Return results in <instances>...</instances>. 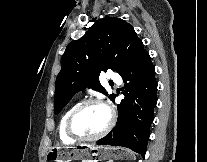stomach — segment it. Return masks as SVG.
Wrapping results in <instances>:
<instances>
[{
    "label": "stomach",
    "mask_w": 207,
    "mask_h": 162,
    "mask_svg": "<svg viewBox=\"0 0 207 162\" xmlns=\"http://www.w3.org/2000/svg\"><path fill=\"white\" fill-rule=\"evenodd\" d=\"M130 156L126 150L114 149L109 146L77 145L75 147H54L47 153L48 162H72L82 160L86 162H113Z\"/></svg>",
    "instance_id": "obj_1"
}]
</instances>
